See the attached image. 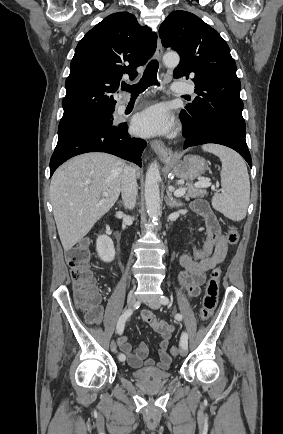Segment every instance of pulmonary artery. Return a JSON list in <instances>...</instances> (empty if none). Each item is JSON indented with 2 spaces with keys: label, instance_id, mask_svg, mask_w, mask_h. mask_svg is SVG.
I'll return each instance as SVG.
<instances>
[{
  "label": "pulmonary artery",
  "instance_id": "e3ab8cb5",
  "mask_svg": "<svg viewBox=\"0 0 283 434\" xmlns=\"http://www.w3.org/2000/svg\"><path fill=\"white\" fill-rule=\"evenodd\" d=\"M173 90L179 94H193L194 93L193 85L187 84V83H175L173 85ZM126 107H127V103H122L118 106V111L124 112Z\"/></svg>",
  "mask_w": 283,
  "mask_h": 434
}]
</instances>
